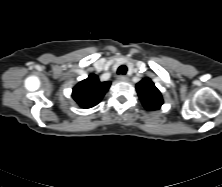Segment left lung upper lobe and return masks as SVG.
<instances>
[{
	"mask_svg": "<svg viewBox=\"0 0 222 187\" xmlns=\"http://www.w3.org/2000/svg\"><path fill=\"white\" fill-rule=\"evenodd\" d=\"M136 91L143 106L147 110L152 111L160 109L163 104L162 95L149 78H145L137 83Z\"/></svg>",
	"mask_w": 222,
	"mask_h": 187,
	"instance_id": "left-lung-upper-lobe-1",
	"label": "left lung upper lobe"
}]
</instances>
